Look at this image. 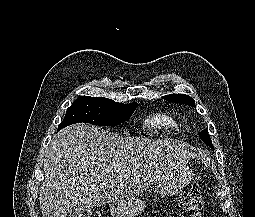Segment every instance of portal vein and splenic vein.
<instances>
[{"label":"portal vein and splenic vein","mask_w":255,"mask_h":217,"mask_svg":"<svg viewBox=\"0 0 255 217\" xmlns=\"http://www.w3.org/2000/svg\"><path fill=\"white\" fill-rule=\"evenodd\" d=\"M111 170L114 172H119L121 170V165L120 164H114L111 166Z\"/></svg>","instance_id":"18ae733b"}]
</instances>
